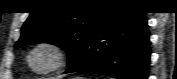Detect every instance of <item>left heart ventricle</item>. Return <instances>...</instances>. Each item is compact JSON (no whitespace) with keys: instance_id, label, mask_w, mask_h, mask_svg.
<instances>
[{"instance_id":"1","label":"left heart ventricle","mask_w":177,"mask_h":79,"mask_svg":"<svg viewBox=\"0 0 177 79\" xmlns=\"http://www.w3.org/2000/svg\"><path fill=\"white\" fill-rule=\"evenodd\" d=\"M55 61L54 53L49 49H40L31 58L32 65L38 70L49 69Z\"/></svg>"}]
</instances>
